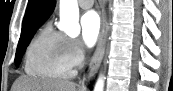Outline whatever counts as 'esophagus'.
Returning <instances> with one entry per match:
<instances>
[{"label": "esophagus", "mask_w": 173, "mask_h": 91, "mask_svg": "<svg viewBox=\"0 0 173 91\" xmlns=\"http://www.w3.org/2000/svg\"><path fill=\"white\" fill-rule=\"evenodd\" d=\"M107 34H108V14H107V8H106V1H103L102 2L101 32L99 35V40H98V45H97L96 51L91 59L87 73L84 75V78L82 80L83 88L87 87L88 83L94 77V75L96 74V72L101 64V61L103 59L104 52H105Z\"/></svg>", "instance_id": "obj_1"}]
</instances>
